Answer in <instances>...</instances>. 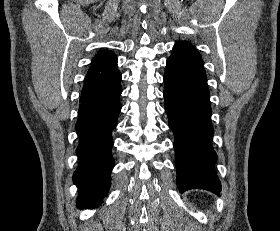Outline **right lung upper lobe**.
Masks as SVG:
<instances>
[{
    "mask_svg": "<svg viewBox=\"0 0 280 231\" xmlns=\"http://www.w3.org/2000/svg\"><path fill=\"white\" fill-rule=\"evenodd\" d=\"M121 73L112 51H101L92 60L80 99L92 98L120 85Z\"/></svg>",
    "mask_w": 280,
    "mask_h": 231,
    "instance_id": "cb5924a9",
    "label": "right lung upper lobe"
}]
</instances>
